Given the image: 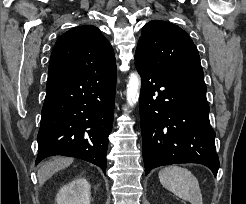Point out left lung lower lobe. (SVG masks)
I'll use <instances>...</instances> for the list:
<instances>
[{
  "mask_svg": "<svg viewBox=\"0 0 246 204\" xmlns=\"http://www.w3.org/2000/svg\"><path fill=\"white\" fill-rule=\"evenodd\" d=\"M142 78L140 120L145 174L176 163H199L216 176L219 159L204 81L137 64Z\"/></svg>",
  "mask_w": 246,
  "mask_h": 204,
  "instance_id": "obj_1",
  "label": "left lung lower lobe"
}]
</instances>
